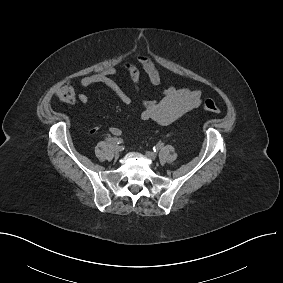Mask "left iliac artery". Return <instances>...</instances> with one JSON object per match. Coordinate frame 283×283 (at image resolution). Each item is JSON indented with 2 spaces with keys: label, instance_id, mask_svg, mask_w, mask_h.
I'll return each mask as SVG.
<instances>
[{
  "label": "left iliac artery",
  "instance_id": "left-iliac-artery-1",
  "mask_svg": "<svg viewBox=\"0 0 283 283\" xmlns=\"http://www.w3.org/2000/svg\"><path fill=\"white\" fill-rule=\"evenodd\" d=\"M163 146V143H158L156 146L153 147L154 152L159 151Z\"/></svg>",
  "mask_w": 283,
  "mask_h": 283
}]
</instances>
